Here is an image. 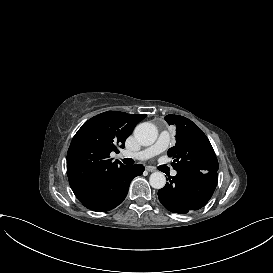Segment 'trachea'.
<instances>
[{
	"instance_id": "trachea-1",
	"label": "trachea",
	"mask_w": 273,
	"mask_h": 273,
	"mask_svg": "<svg viewBox=\"0 0 273 273\" xmlns=\"http://www.w3.org/2000/svg\"><path fill=\"white\" fill-rule=\"evenodd\" d=\"M122 161L126 165H132V164H134V160L132 158H124Z\"/></svg>"
}]
</instances>
